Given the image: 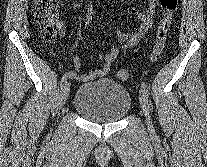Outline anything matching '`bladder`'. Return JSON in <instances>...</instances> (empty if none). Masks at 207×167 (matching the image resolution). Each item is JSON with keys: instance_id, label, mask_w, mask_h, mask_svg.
Listing matches in <instances>:
<instances>
[{"instance_id": "obj_1", "label": "bladder", "mask_w": 207, "mask_h": 167, "mask_svg": "<svg viewBox=\"0 0 207 167\" xmlns=\"http://www.w3.org/2000/svg\"><path fill=\"white\" fill-rule=\"evenodd\" d=\"M73 106L85 119L109 123L123 119L131 108V96L123 85L108 79L79 87Z\"/></svg>"}]
</instances>
